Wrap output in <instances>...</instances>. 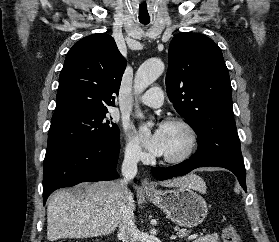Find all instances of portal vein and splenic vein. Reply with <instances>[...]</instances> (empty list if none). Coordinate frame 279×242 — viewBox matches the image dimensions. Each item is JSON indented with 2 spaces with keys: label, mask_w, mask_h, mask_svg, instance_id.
Returning a JSON list of instances; mask_svg holds the SVG:
<instances>
[{
  "label": "portal vein and splenic vein",
  "mask_w": 279,
  "mask_h": 242,
  "mask_svg": "<svg viewBox=\"0 0 279 242\" xmlns=\"http://www.w3.org/2000/svg\"><path fill=\"white\" fill-rule=\"evenodd\" d=\"M198 236V234H192L188 237V240H193V239H196Z\"/></svg>",
  "instance_id": "18ae733b"
}]
</instances>
